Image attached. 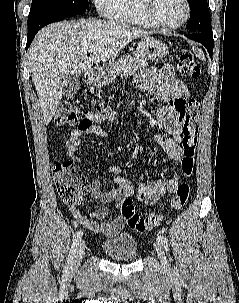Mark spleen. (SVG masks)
<instances>
[{
	"instance_id": "obj_1",
	"label": "spleen",
	"mask_w": 239,
	"mask_h": 303,
	"mask_svg": "<svg viewBox=\"0 0 239 303\" xmlns=\"http://www.w3.org/2000/svg\"><path fill=\"white\" fill-rule=\"evenodd\" d=\"M195 55L202 61L205 60V56L204 54L199 50V49H195L194 50Z\"/></svg>"
}]
</instances>
